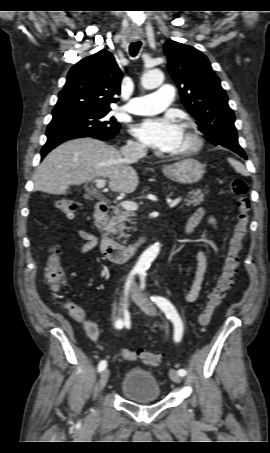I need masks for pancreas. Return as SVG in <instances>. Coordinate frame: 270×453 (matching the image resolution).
<instances>
[{"mask_svg": "<svg viewBox=\"0 0 270 453\" xmlns=\"http://www.w3.org/2000/svg\"><path fill=\"white\" fill-rule=\"evenodd\" d=\"M204 197L205 194L200 190H194L189 193L184 202L186 206H199L204 201ZM134 216L133 211L114 207L113 216L106 222V230L111 234L118 235L117 239L128 238L130 235L125 234V231L130 232L133 227H128L127 223L134 224Z\"/></svg>", "mask_w": 270, "mask_h": 453, "instance_id": "cf45deb5", "label": "pancreas"}]
</instances>
